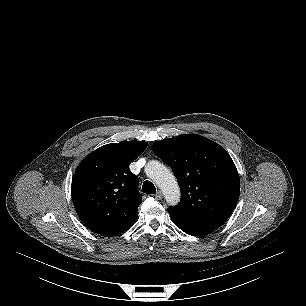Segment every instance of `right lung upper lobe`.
<instances>
[{
	"label": "right lung upper lobe",
	"instance_id": "1",
	"mask_svg": "<svg viewBox=\"0 0 306 306\" xmlns=\"http://www.w3.org/2000/svg\"><path fill=\"white\" fill-rule=\"evenodd\" d=\"M146 142L121 141L89 154L77 168L71 186L75 210L93 232L115 236L137 219L142 202L138 177L129 170Z\"/></svg>",
	"mask_w": 306,
	"mask_h": 306
}]
</instances>
